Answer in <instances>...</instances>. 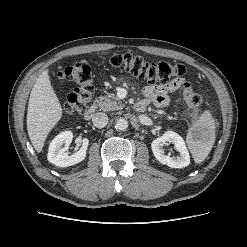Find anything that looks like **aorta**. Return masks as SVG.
<instances>
[{
    "instance_id": "762f6f07",
    "label": "aorta",
    "mask_w": 247,
    "mask_h": 247,
    "mask_svg": "<svg viewBox=\"0 0 247 247\" xmlns=\"http://www.w3.org/2000/svg\"><path fill=\"white\" fill-rule=\"evenodd\" d=\"M115 128L118 131H125L128 128V121L123 118H119L116 121Z\"/></svg>"
}]
</instances>
